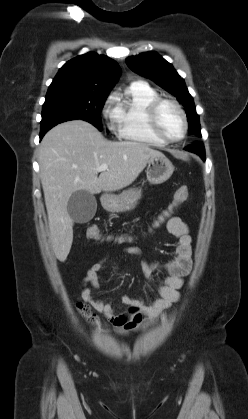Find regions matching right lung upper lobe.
Returning <instances> with one entry per match:
<instances>
[{
	"mask_svg": "<svg viewBox=\"0 0 248 419\" xmlns=\"http://www.w3.org/2000/svg\"><path fill=\"white\" fill-rule=\"evenodd\" d=\"M120 73V67L114 60L89 52L66 62L53 79L49 89H77L108 94Z\"/></svg>",
	"mask_w": 248,
	"mask_h": 419,
	"instance_id": "right-lung-upper-lobe-1",
	"label": "right lung upper lobe"
}]
</instances>
